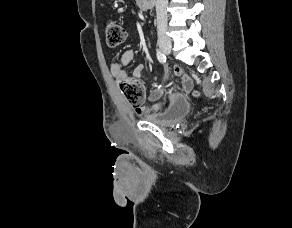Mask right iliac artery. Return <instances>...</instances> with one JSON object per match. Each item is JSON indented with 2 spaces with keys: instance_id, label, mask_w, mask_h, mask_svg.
Masks as SVG:
<instances>
[{
  "instance_id": "obj_1",
  "label": "right iliac artery",
  "mask_w": 292,
  "mask_h": 228,
  "mask_svg": "<svg viewBox=\"0 0 292 228\" xmlns=\"http://www.w3.org/2000/svg\"><path fill=\"white\" fill-rule=\"evenodd\" d=\"M157 59L160 63H166V56L160 50H157Z\"/></svg>"
}]
</instances>
